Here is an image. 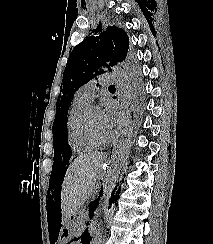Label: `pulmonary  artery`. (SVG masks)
I'll return each mask as SVG.
<instances>
[{
    "label": "pulmonary artery",
    "instance_id": "e3ab8cb5",
    "mask_svg": "<svg viewBox=\"0 0 213 244\" xmlns=\"http://www.w3.org/2000/svg\"><path fill=\"white\" fill-rule=\"evenodd\" d=\"M115 81H116L115 76L110 73H104L98 76V83L102 86L108 85L110 83H114ZM95 90H96L95 81H90L85 85H83L77 91V94L88 101H92L95 96Z\"/></svg>",
    "mask_w": 213,
    "mask_h": 244
}]
</instances>
